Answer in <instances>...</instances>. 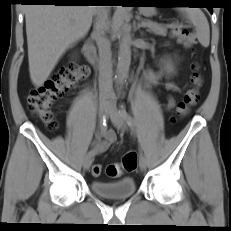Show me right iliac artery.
Instances as JSON below:
<instances>
[{"mask_svg": "<svg viewBox=\"0 0 231 231\" xmlns=\"http://www.w3.org/2000/svg\"><path fill=\"white\" fill-rule=\"evenodd\" d=\"M106 130H107V122H106V119L103 118V120L99 124L98 134H103L106 132ZM88 155L92 156V158H93L95 153L91 150V151H89Z\"/></svg>", "mask_w": 231, "mask_h": 231, "instance_id": "82829eb1", "label": "right iliac artery"}]
</instances>
